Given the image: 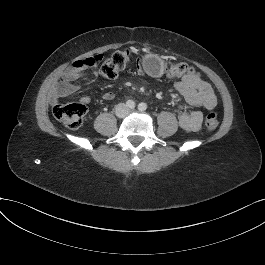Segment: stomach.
<instances>
[{"instance_id":"obj_1","label":"stomach","mask_w":265,"mask_h":265,"mask_svg":"<svg viewBox=\"0 0 265 265\" xmlns=\"http://www.w3.org/2000/svg\"><path fill=\"white\" fill-rule=\"evenodd\" d=\"M143 67L151 76L160 77L163 75V60L157 55H147L143 60Z\"/></svg>"}]
</instances>
